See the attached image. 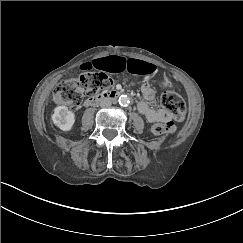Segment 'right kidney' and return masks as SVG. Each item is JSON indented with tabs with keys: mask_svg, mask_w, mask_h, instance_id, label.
I'll return each instance as SVG.
<instances>
[{
	"mask_svg": "<svg viewBox=\"0 0 243 243\" xmlns=\"http://www.w3.org/2000/svg\"><path fill=\"white\" fill-rule=\"evenodd\" d=\"M52 120L61 130L69 131L75 122V115L66 106H58L54 109Z\"/></svg>",
	"mask_w": 243,
	"mask_h": 243,
	"instance_id": "1",
	"label": "right kidney"
}]
</instances>
